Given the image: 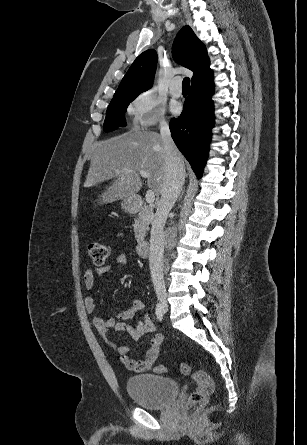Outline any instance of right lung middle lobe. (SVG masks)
Returning a JSON list of instances; mask_svg holds the SVG:
<instances>
[{
  "label": "right lung middle lobe",
  "instance_id": "obj_1",
  "mask_svg": "<svg viewBox=\"0 0 307 445\" xmlns=\"http://www.w3.org/2000/svg\"><path fill=\"white\" fill-rule=\"evenodd\" d=\"M135 98L136 97H127L110 102L103 125L105 132L113 131L119 126L123 127L126 125L124 113L126 112L129 103Z\"/></svg>",
  "mask_w": 307,
  "mask_h": 445
}]
</instances>
